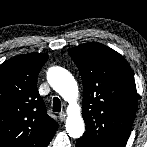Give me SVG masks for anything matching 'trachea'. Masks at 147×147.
<instances>
[{
	"instance_id": "3493384b",
	"label": "trachea",
	"mask_w": 147,
	"mask_h": 147,
	"mask_svg": "<svg viewBox=\"0 0 147 147\" xmlns=\"http://www.w3.org/2000/svg\"><path fill=\"white\" fill-rule=\"evenodd\" d=\"M53 111L60 112L61 111V102L58 97L53 98Z\"/></svg>"
}]
</instances>
